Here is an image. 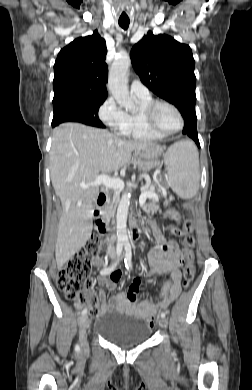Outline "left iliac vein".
Returning a JSON list of instances; mask_svg holds the SVG:
<instances>
[{"label": "left iliac vein", "instance_id": "1", "mask_svg": "<svg viewBox=\"0 0 252 390\" xmlns=\"http://www.w3.org/2000/svg\"><path fill=\"white\" fill-rule=\"evenodd\" d=\"M158 323L161 327H166L167 326V320L165 318H159Z\"/></svg>", "mask_w": 252, "mask_h": 390}]
</instances>
